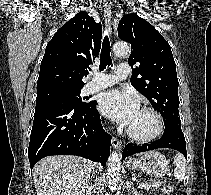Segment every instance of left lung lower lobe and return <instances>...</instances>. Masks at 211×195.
Returning <instances> with one entry per match:
<instances>
[{"label":"left lung lower lobe","instance_id":"1","mask_svg":"<svg viewBox=\"0 0 211 195\" xmlns=\"http://www.w3.org/2000/svg\"><path fill=\"white\" fill-rule=\"evenodd\" d=\"M157 148H171L181 152L187 158L186 143L184 134L181 130V125L172 124L166 125L163 136L152 143L144 144L143 146H135L129 143L125 146L122 153V160L127 156L135 153L154 150Z\"/></svg>","mask_w":211,"mask_h":195}]
</instances>
